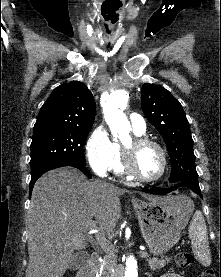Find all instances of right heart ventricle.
<instances>
[{
	"mask_svg": "<svg viewBox=\"0 0 221 277\" xmlns=\"http://www.w3.org/2000/svg\"><path fill=\"white\" fill-rule=\"evenodd\" d=\"M136 136H143L144 133H139L134 131ZM117 176L121 177H127V173L124 170L123 164H122V146L114 142V158L113 162L110 168Z\"/></svg>",
	"mask_w": 221,
	"mask_h": 277,
	"instance_id": "right-heart-ventricle-1",
	"label": "right heart ventricle"
}]
</instances>
